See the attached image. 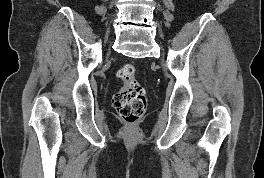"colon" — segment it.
<instances>
[{
	"instance_id": "obj_1",
	"label": "colon",
	"mask_w": 264,
	"mask_h": 178,
	"mask_svg": "<svg viewBox=\"0 0 264 178\" xmlns=\"http://www.w3.org/2000/svg\"><path fill=\"white\" fill-rule=\"evenodd\" d=\"M117 77L123 82V86L113 96V106L125 122L134 124L146 110L145 91L137 81V70L132 64L120 67Z\"/></svg>"
}]
</instances>
